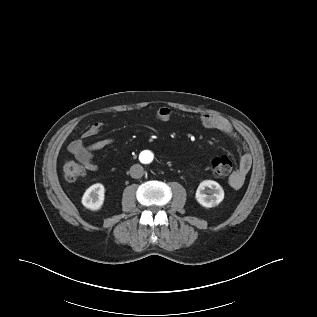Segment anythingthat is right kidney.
<instances>
[{
	"label": "right kidney",
	"instance_id": "1",
	"mask_svg": "<svg viewBox=\"0 0 317 317\" xmlns=\"http://www.w3.org/2000/svg\"><path fill=\"white\" fill-rule=\"evenodd\" d=\"M105 189L101 183L90 186L82 197V204L90 210H99L104 203Z\"/></svg>",
	"mask_w": 317,
	"mask_h": 317
}]
</instances>
